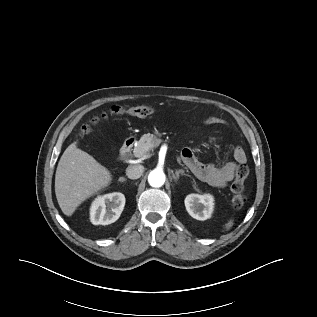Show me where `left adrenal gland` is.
<instances>
[{
    "instance_id": "1",
    "label": "left adrenal gland",
    "mask_w": 317,
    "mask_h": 317,
    "mask_svg": "<svg viewBox=\"0 0 317 317\" xmlns=\"http://www.w3.org/2000/svg\"><path fill=\"white\" fill-rule=\"evenodd\" d=\"M179 174H184V170H182V169L177 170V171L175 172V174L172 175V177H173V179H174L175 181L179 179V176H180Z\"/></svg>"
}]
</instances>
